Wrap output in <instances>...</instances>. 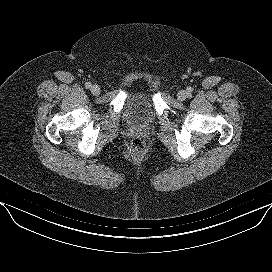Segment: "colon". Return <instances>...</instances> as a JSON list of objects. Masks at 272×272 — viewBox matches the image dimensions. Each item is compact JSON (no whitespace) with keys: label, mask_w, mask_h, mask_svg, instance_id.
<instances>
[{"label":"colon","mask_w":272,"mask_h":272,"mask_svg":"<svg viewBox=\"0 0 272 272\" xmlns=\"http://www.w3.org/2000/svg\"><path fill=\"white\" fill-rule=\"evenodd\" d=\"M130 147L133 153L141 154L145 149V144L141 138L135 137L131 140Z\"/></svg>","instance_id":"obj_1"}]
</instances>
